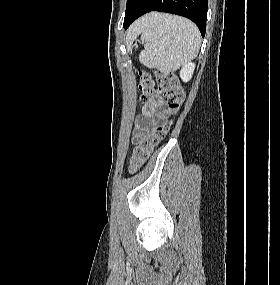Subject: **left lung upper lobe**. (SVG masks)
<instances>
[{"instance_id": "5c2ea615", "label": "left lung upper lobe", "mask_w": 280, "mask_h": 285, "mask_svg": "<svg viewBox=\"0 0 280 285\" xmlns=\"http://www.w3.org/2000/svg\"><path fill=\"white\" fill-rule=\"evenodd\" d=\"M137 0H127L126 11H125V18L129 15L131 10L133 9ZM124 18V19H125Z\"/></svg>"}]
</instances>
